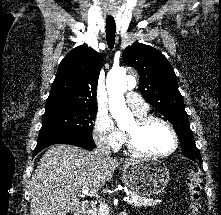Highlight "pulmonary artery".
I'll use <instances>...</instances> for the list:
<instances>
[{"label": "pulmonary artery", "instance_id": "obj_1", "mask_svg": "<svg viewBox=\"0 0 221 215\" xmlns=\"http://www.w3.org/2000/svg\"><path fill=\"white\" fill-rule=\"evenodd\" d=\"M126 102L136 114L145 113L148 110V105L136 92H128L126 95Z\"/></svg>", "mask_w": 221, "mask_h": 215}]
</instances>
